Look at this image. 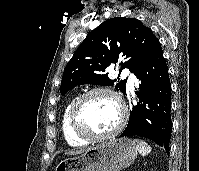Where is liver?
Returning a JSON list of instances; mask_svg holds the SVG:
<instances>
[{
	"mask_svg": "<svg viewBox=\"0 0 199 171\" xmlns=\"http://www.w3.org/2000/svg\"><path fill=\"white\" fill-rule=\"evenodd\" d=\"M84 152L83 150H80V151H72V152H68L67 154H70V155H74V154H79V153H82Z\"/></svg>",
	"mask_w": 199,
	"mask_h": 171,
	"instance_id": "liver-1",
	"label": "liver"
}]
</instances>
